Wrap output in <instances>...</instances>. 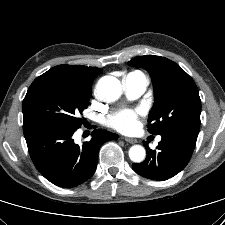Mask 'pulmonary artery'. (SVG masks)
Returning a JSON list of instances; mask_svg holds the SVG:
<instances>
[{
  "instance_id": "1",
  "label": "pulmonary artery",
  "mask_w": 225,
  "mask_h": 225,
  "mask_svg": "<svg viewBox=\"0 0 225 225\" xmlns=\"http://www.w3.org/2000/svg\"><path fill=\"white\" fill-rule=\"evenodd\" d=\"M123 85L129 98H137L146 91L148 79L141 72H132L123 79ZM157 141H160V138Z\"/></svg>"
}]
</instances>
